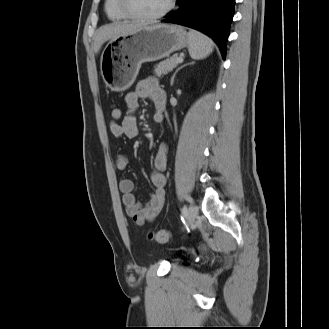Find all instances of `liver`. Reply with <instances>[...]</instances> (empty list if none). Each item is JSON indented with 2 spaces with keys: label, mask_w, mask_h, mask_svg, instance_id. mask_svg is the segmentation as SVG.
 Instances as JSON below:
<instances>
[{
  "label": "liver",
  "mask_w": 329,
  "mask_h": 329,
  "mask_svg": "<svg viewBox=\"0 0 329 329\" xmlns=\"http://www.w3.org/2000/svg\"><path fill=\"white\" fill-rule=\"evenodd\" d=\"M144 27H147L145 24L140 23H127V22H115L108 25L100 27L94 37V52L97 54L102 45L114 37L133 33L137 30H140Z\"/></svg>",
  "instance_id": "liver-1"
}]
</instances>
